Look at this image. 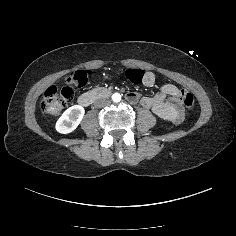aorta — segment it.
<instances>
[{"instance_id": "1", "label": "aorta", "mask_w": 236, "mask_h": 236, "mask_svg": "<svg viewBox=\"0 0 236 236\" xmlns=\"http://www.w3.org/2000/svg\"><path fill=\"white\" fill-rule=\"evenodd\" d=\"M112 100H113L114 102H120V101H121V95L118 94V93L113 94V95H112Z\"/></svg>"}]
</instances>
